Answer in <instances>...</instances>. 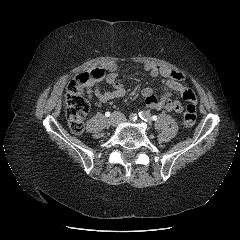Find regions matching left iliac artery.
<instances>
[{"label":"left iliac artery","mask_w":240,"mask_h":240,"mask_svg":"<svg viewBox=\"0 0 240 240\" xmlns=\"http://www.w3.org/2000/svg\"><path fill=\"white\" fill-rule=\"evenodd\" d=\"M138 114H139V117L145 122H148V123L151 122L150 121L151 115L147 111H140Z\"/></svg>","instance_id":"44dca946"}]
</instances>
